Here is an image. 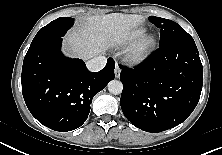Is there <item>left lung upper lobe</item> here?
<instances>
[{"label": "left lung upper lobe", "mask_w": 222, "mask_h": 155, "mask_svg": "<svg viewBox=\"0 0 222 155\" xmlns=\"http://www.w3.org/2000/svg\"><path fill=\"white\" fill-rule=\"evenodd\" d=\"M149 21L160 28L159 46L180 42L195 43L191 35L184 31L182 27L174 21L155 16H150Z\"/></svg>", "instance_id": "5c2ea615"}]
</instances>
